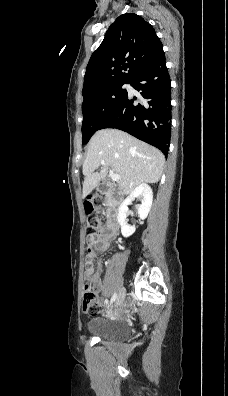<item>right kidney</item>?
I'll return each mask as SVG.
<instances>
[{
	"label": "right kidney",
	"instance_id": "ca27d5eb",
	"mask_svg": "<svg viewBox=\"0 0 228 396\" xmlns=\"http://www.w3.org/2000/svg\"><path fill=\"white\" fill-rule=\"evenodd\" d=\"M139 198L141 204L137 206L139 217L145 219L151 209L153 201V192L149 185L142 183L138 185L131 194L123 201L119 207L118 222L121 226V233L124 237H129L135 232V227L128 226L126 216L128 212V205L135 199Z\"/></svg>",
	"mask_w": 228,
	"mask_h": 396
}]
</instances>
